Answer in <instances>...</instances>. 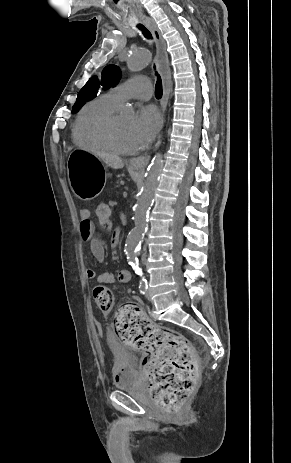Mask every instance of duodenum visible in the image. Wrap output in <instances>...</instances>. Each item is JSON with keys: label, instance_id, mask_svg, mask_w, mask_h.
<instances>
[{"label": "duodenum", "instance_id": "obj_1", "mask_svg": "<svg viewBox=\"0 0 291 463\" xmlns=\"http://www.w3.org/2000/svg\"><path fill=\"white\" fill-rule=\"evenodd\" d=\"M119 233H120V232H119ZM112 238H113V237H112ZM112 246H113V245H112ZM113 247H115V248H116L117 246H113Z\"/></svg>", "mask_w": 291, "mask_h": 463}]
</instances>
